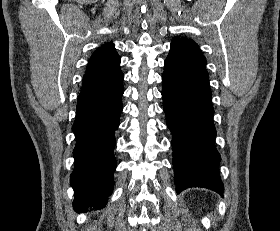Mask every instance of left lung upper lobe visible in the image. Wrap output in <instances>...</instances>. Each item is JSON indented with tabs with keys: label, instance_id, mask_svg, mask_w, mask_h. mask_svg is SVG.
I'll use <instances>...</instances> for the list:
<instances>
[{
	"label": "left lung upper lobe",
	"instance_id": "5c2ea615",
	"mask_svg": "<svg viewBox=\"0 0 280 231\" xmlns=\"http://www.w3.org/2000/svg\"><path fill=\"white\" fill-rule=\"evenodd\" d=\"M165 65L177 75H208L206 60L198 45L190 39L172 41Z\"/></svg>",
	"mask_w": 280,
	"mask_h": 231
}]
</instances>
